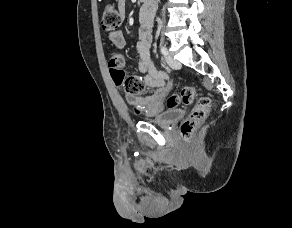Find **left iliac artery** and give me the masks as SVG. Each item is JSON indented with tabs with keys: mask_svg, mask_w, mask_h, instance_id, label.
<instances>
[{
	"mask_svg": "<svg viewBox=\"0 0 292 228\" xmlns=\"http://www.w3.org/2000/svg\"><path fill=\"white\" fill-rule=\"evenodd\" d=\"M161 53L164 55V56H167L168 55V50L165 46H161Z\"/></svg>",
	"mask_w": 292,
	"mask_h": 228,
	"instance_id": "left-iliac-artery-1",
	"label": "left iliac artery"
}]
</instances>
